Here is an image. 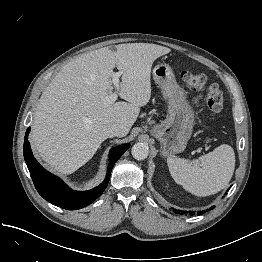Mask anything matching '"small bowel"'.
I'll return each instance as SVG.
<instances>
[{"mask_svg":"<svg viewBox=\"0 0 262 262\" xmlns=\"http://www.w3.org/2000/svg\"><path fill=\"white\" fill-rule=\"evenodd\" d=\"M201 97H202V95H198V96H197V100H199Z\"/></svg>","mask_w":262,"mask_h":262,"instance_id":"obj_1","label":"small bowel"}]
</instances>
